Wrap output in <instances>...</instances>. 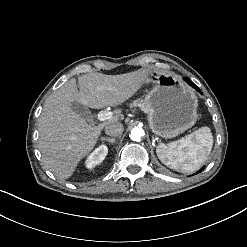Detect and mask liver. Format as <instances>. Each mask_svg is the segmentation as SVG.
<instances>
[{
	"mask_svg": "<svg viewBox=\"0 0 247 247\" xmlns=\"http://www.w3.org/2000/svg\"><path fill=\"white\" fill-rule=\"evenodd\" d=\"M151 69L120 75L90 72L71 78L45 101L39 118V148L42 162L57 178H69L81 159L94 148L102 129L118 121V116L89 125L71 108L78 102L92 109L116 106L132 97L146 82Z\"/></svg>",
	"mask_w": 247,
	"mask_h": 247,
	"instance_id": "6515ba94",
	"label": "liver"
}]
</instances>
